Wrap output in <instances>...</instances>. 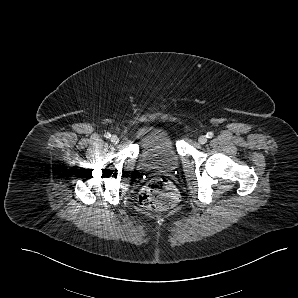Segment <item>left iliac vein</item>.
<instances>
[{
  "mask_svg": "<svg viewBox=\"0 0 298 298\" xmlns=\"http://www.w3.org/2000/svg\"><path fill=\"white\" fill-rule=\"evenodd\" d=\"M198 142L200 144H205L207 142V137L205 135H202L198 138Z\"/></svg>",
  "mask_w": 298,
  "mask_h": 298,
  "instance_id": "obj_1",
  "label": "left iliac vein"
}]
</instances>
